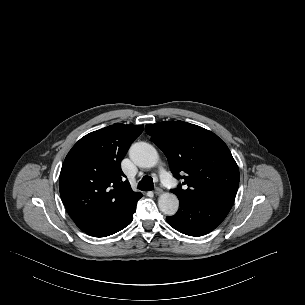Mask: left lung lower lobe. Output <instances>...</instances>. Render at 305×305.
Instances as JSON below:
<instances>
[{"label":"left lung lower lobe","mask_w":305,"mask_h":305,"mask_svg":"<svg viewBox=\"0 0 305 305\" xmlns=\"http://www.w3.org/2000/svg\"><path fill=\"white\" fill-rule=\"evenodd\" d=\"M180 208L168 223L189 236H202L214 230L227 216L233 203L228 200L191 202L179 199Z\"/></svg>","instance_id":"0a47b994"}]
</instances>
